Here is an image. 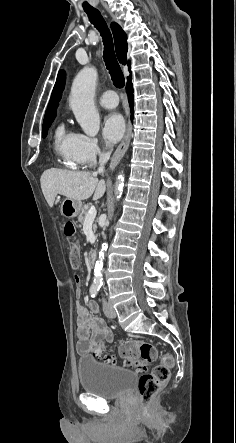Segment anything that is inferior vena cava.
Wrapping results in <instances>:
<instances>
[{
  "label": "inferior vena cava",
  "instance_id": "1",
  "mask_svg": "<svg viewBox=\"0 0 236 443\" xmlns=\"http://www.w3.org/2000/svg\"><path fill=\"white\" fill-rule=\"evenodd\" d=\"M111 155V150H108L104 153L99 154V168L96 173H103L104 172V166L109 160Z\"/></svg>",
  "mask_w": 236,
  "mask_h": 443
}]
</instances>
